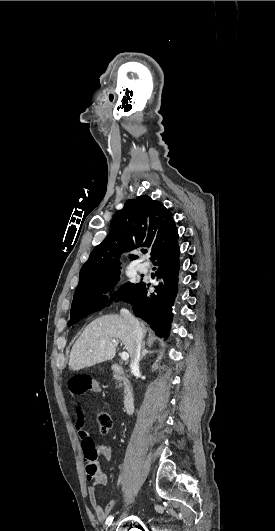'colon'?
I'll return each mask as SVG.
<instances>
[{"mask_svg": "<svg viewBox=\"0 0 275 531\" xmlns=\"http://www.w3.org/2000/svg\"><path fill=\"white\" fill-rule=\"evenodd\" d=\"M84 377H89V376H84ZM96 419H97L99 430L101 433L105 434L111 429L112 419L107 412L99 411L97 413Z\"/></svg>", "mask_w": 275, "mask_h": 531, "instance_id": "colon-1", "label": "colon"}]
</instances>
